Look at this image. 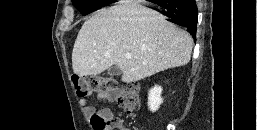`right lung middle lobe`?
Wrapping results in <instances>:
<instances>
[{
  "label": "right lung middle lobe",
  "mask_w": 257,
  "mask_h": 130,
  "mask_svg": "<svg viewBox=\"0 0 257 130\" xmlns=\"http://www.w3.org/2000/svg\"><path fill=\"white\" fill-rule=\"evenodd\" d=\"M73 4L80 13L86 15L97 8L110 4V2L107 0H73Z\"/></svg>",
  "instance_id": "dd1d6c3e"
}]
</instances>
